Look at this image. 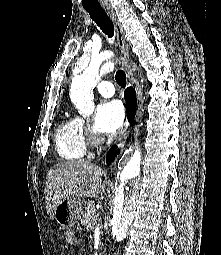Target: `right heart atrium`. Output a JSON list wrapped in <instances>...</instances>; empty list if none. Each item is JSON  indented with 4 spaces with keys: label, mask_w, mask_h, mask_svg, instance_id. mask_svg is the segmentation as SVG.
Listing matches in <instances>:
<instances>
[{
    "label": "right heart atrium",
    "mask_w": 221,
    "mask_h": 255,
    "mask_svg": "<svg viewBox=\"0 0 221 255\" xmlns=\"http://www.w3.org/2000/svg\"><path fill=\"white\" fill-rule=\"evenodd\" d=\"M83 123V128L86 130L87 129V124L85 122H82Z\"/></svg>",
    "instance_id": "d8ad5b80"
}]
</instances>
